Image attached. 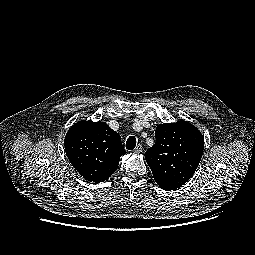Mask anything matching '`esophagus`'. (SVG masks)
<instances>
[{
  "mask_svg": "<svg viewBox=\"0 0 255 255\" xmlns=\"http://www.w3.org/2000/svg\"><path fill=\"white\" fill-rule=\"evenodd\" d=\"M142 151H143V147H142L141 144H138V145L135 147V149H134V152L137 153V154L141 153Z\"/></svg>",
  "mask_w": 255,
  "mask_h": 255,
  "instance_id": "obj_1",
  "label": "esophagus"
}]
</instances>
